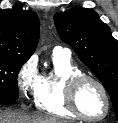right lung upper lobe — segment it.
I'll list each match as a JSON object with an SVG mask.
<instances>
[{"instance_id": "cb5924a9", "label": "right lung upper lobe", "mask_w": 118, "mask_h": 123, "mask_svg": "<svg viewBox=\"0 0 118 123\" xmlns=\"http://www.w3.org/2000/svg\"><path fill=\"white\" fill-rule=\"evenodd\" d=\"M39 40V19L20 7L0 10V55L28 60Z\"/></svg>"}]
</instances>
